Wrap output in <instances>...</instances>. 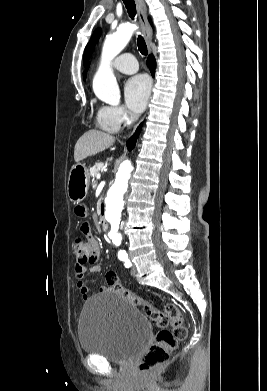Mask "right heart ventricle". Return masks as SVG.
I'll list each match as a JSON object with an SVG mask.
<instances>
[{"label":"right heart ventricle","mask_w":267,"mask_h":391,"mask_svg":"<svg viewBox=\"0 0 267 391\" xmlns=\"http://www.w3.org/2000/svg\"><path fill=\"white\" fill-rule=\"evenodd\" d=\"M98 123H99V126L105 130V131H109V132H114L117 130V128L113 127L112 125H109L108 123L102 121L101 119H99L98 117Z\"/></svg>","instance_id":"right-heart-ventricle-1"}]
</instances>
